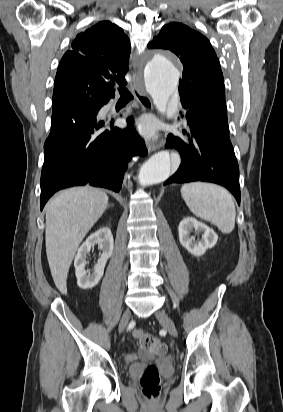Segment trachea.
I'll return each mask as SVG.
<instances>
[{"label": "trachea", "mask_w": 283, "mask_h": 412, "mask_svg": "<svg viewBox=\"0 0 283 412\" xmlns=\"http://www.w3.org/2000/svg\"><path fill=\"white\" fill-rule=\"evenodd\" d=\"M119 93H120L119 101L121 102H129L131 99H133L132 94L127 89L120 88Z\"/></svg>", "instance_id": "3493384b"}]
</instances>
